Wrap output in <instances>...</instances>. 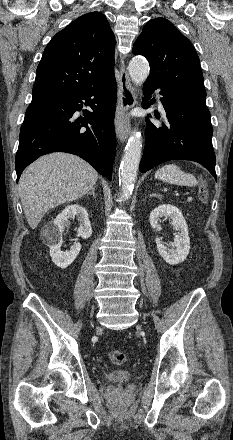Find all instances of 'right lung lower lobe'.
Wrapping results in <instances>:
<instances>
[{
    "instance_id": "right-lung-lower-lobe-1",
    "label": "right lung lower lobe",
    "mask_w": 233,
    "mask_h": 440,
    "mask_svg": "<svg viewBox=\"0 0 233 440\" xmlns=\"http://www.w3.org/2000/svg\"><path fill=\"white\" fill-rule=\"evenodd\" d=\"M116 97L113 76L86 90L32 99L20 130L15 158L17 181L26 166L41 155L57 151L80 156L111 180ZM84 100L92 104L93 112H85L84 118L75 120L74 113L87 105Z\"/></svg>"
}]
</instances>
